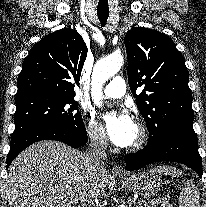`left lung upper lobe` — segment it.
<instances>
[{
	"mask_svg": "<svg viewBox=\"0 0 206 207\" xmlns=\"http://www.w3.org/2000/svg\"><path fill=\"white\" fill-rule=\"evenodd\" d=\"M128 82L153 146L179 128H193L192 94L182 54L165 34L143 27L125 36ZM144 86L137 95L136 89Z\"/></svg>",
	"mask_w": 206,
	"mask_h": 207,
	"instance_id": "1",
	"label": "left lung upper lobe"
}]
</instances>
